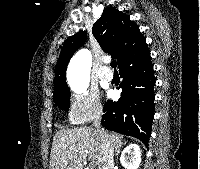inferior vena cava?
<instances>
[{"instance_id":"obj_1","label":"inferior vena cava","mask_w":200,"mask_h":169,"mask_svg":"<svg viewBox=\"0 0 200 169\" xmlns=\"http://www.w3.org/2000/svg\"><path fill=\"white\" fill-rule=\"evenodd\" d=\"M102 116V110L100 109L97 112V115L95 117L93 127L96 130V132L100 135L101 141L103 144V156L101 158V162L98 169H112L114 165V149L108 142V140L105 138L104 131L101 129L100 121Z\"/></svg>"}]
</instances>
